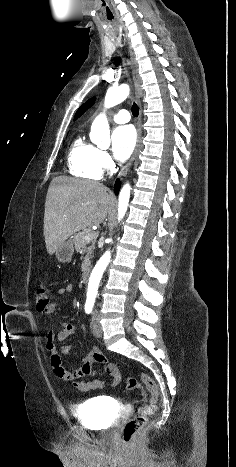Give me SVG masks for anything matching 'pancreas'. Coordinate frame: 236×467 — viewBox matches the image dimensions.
<instances>
[{
	"label": "pancreas",
	"instance_id": "pancreas-1",
	"mask_svg": "<svg viewBox=\"0 0 236 467\" xmlns=\"http://www.w3.org/2000/svg\"><path fill=\"white\" fill-rule=\"evenodd\" d=\"M90 233H92L90 229H85L73 236V243L77 252H80L81 254L86 253L81 266L82 271H86L87 267L90 265V258L92 257L93 251L95 249V239H92L91 241H86L84 239V237Z\"/></svg>",
	"mask_w": 236,
	"mask_h": 467
}]
</instances>
